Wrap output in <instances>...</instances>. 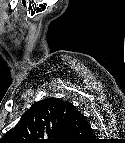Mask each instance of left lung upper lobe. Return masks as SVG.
<instances>
[{"mask_svg":"<svg viewBox=\"0 0 125 143\" xmlns=\"http://www.w3.org/2000/svg\"><path fill=\"white\" fill-rule=\"evenodd\" d=\"M68 121V104L54 98L34 104L11 132L18 140L47 138L60 133ZM10 138V137H9Z\"/></svg>","mask_w":125,"mask_h":143,"instance_id":"left-lung-upper-lobe-1","label":"left lung upper lobe"}]
</instances>
